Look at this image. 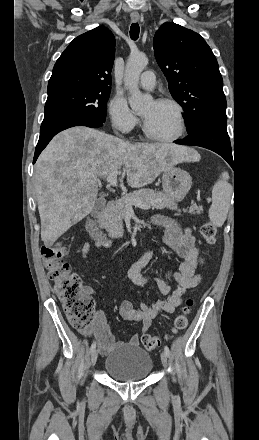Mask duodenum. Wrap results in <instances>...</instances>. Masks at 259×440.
<instances>
[{
	"label": "duodenum",
	"mask_w": 259,
	"mask_h": 440,
	"mask_svg": "<svg viewBox=\"0 0 259 440\" xmlns=\"http://www.w3.org/2000/svg\"><path fill=\"white\" fill-rule=\"evenodd\" d=\"M113 205V201H109L106 203L105 207L101 210V212L94 217H89L87 219L86 227L89 234L98 241H107L109 237L105 233L102 227V221Z\"/></svg>",
	"instance_id": "410a0bca"
}]
</instances>
